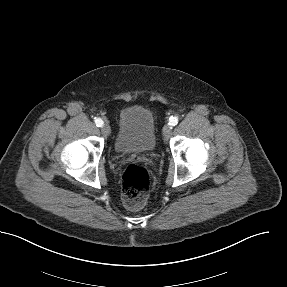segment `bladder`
Wrapping results in <instances>:
<instances>
[{"label":"bladder","mask_w":287,"mask_h":287,"mask_svg":"<svg viewBox=\"0 0 287 287\" xmlns=\"http://www.w3.org/2000/svg\"><path fill=\"white\" fill-rule=\"evenodd\" d=\"M156 147L155 121L152 112L139 105L120 111L115 151L122 155L146 154Z\"/></svg>","instance_id":"31cf9c89"}]
</instances>
